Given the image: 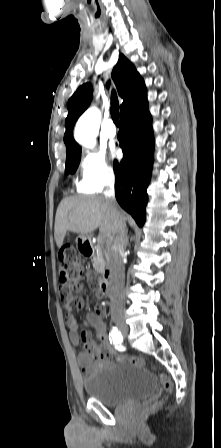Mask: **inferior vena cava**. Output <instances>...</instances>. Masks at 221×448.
I'll return each mask as SVG.
<instances>
[{
	"label": "inferior vena cava",
	"instance_id": "obj_1",
	"mask_svg": "<svg viewBox=\"0 0 221 448\" xmlns=\"http://www.w3.org/2000/svg\"><path fill=\"white\" fill-rule=\"evenodd\" d=\"M107 187L104 191V196L108 201L112 212L115 215V227L109 242V257L111 265V274L113 277L112 284V299H111V310L113 314H120L122 312V296L121 292L124 286V265L123 256L127 245V232L126 223L121 210L118 207L117 201L115 199L114 193V180L110 179L107 181Z\"/></svg>",
	"mask_w": 221,
	"mask_h": 448
}]
</instances>
